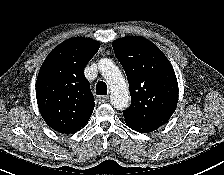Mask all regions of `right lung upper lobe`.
Returning <instances> with one entry per match:
<instances>
[{"mask_svg": "<svg viewBox=\"0 0 224 175\" xmlns=\"http://www.w3.org/2000/svg\"><path fill=\"white\" fill-rule=\"evenodd\" d=\"M99 48L100 44L92 39H69L42 64L36 97L39 111L52 129L70 134L88 122L95 103L84 68Z\"/></svg>", "mask_w": 224, "mask_h": 175, "instance_id": "cb5924a9", "label": "right lung upper lobe"}]
</instances>
